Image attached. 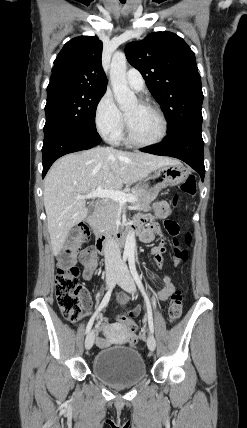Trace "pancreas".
Wrapping results in <instances>:
<instances>
[{
	"mask_svg": "<svg viewBox=\"0 0 247 428\" xmlns=\"http://www.w3.org/2000/svg\"><path fill=\"white\" fill-rule=\"evenodd\" d=\"M126 193L136 196L137 200L133 202V207L141 211L147 209L150 203L156 199L159 190L151 191L142 186H134L131 191ZM119 207L120 203L118 201H108L97 217L95 228L101 232L109 228H115Z\"/></svg>",
	"mask_w": 247,
	"mask_h": 428,
	"instance_id": "1",
	"label": "pancreas"
}]
</instances>
